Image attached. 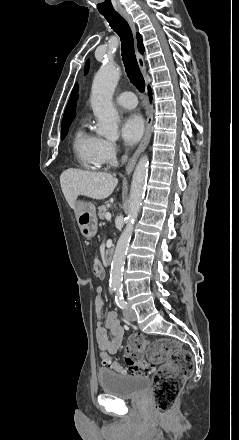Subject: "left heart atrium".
<instances>
[{"label": "left heart atrium", "instance_id": "left-heart-atrium-1", "mask_svg": "<svg viewBox=\"0 0 239 440\" xmlns=\"http://www.w3.org/2000/svg\"><path fill=\"white\" fill-rule=\"evenodd\" d=\"M143 130L142 117L137 113H127L120 119L119 131L126 144H135L142 136Z\"/></svg>", "mask_w": 239, "mask_h": 440}]
</instances>
